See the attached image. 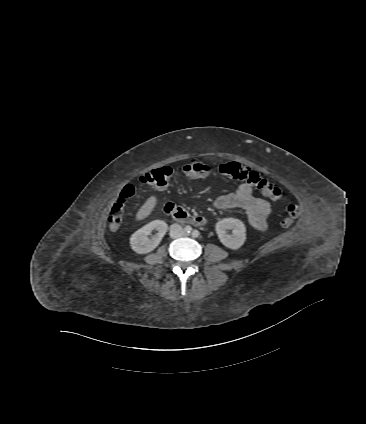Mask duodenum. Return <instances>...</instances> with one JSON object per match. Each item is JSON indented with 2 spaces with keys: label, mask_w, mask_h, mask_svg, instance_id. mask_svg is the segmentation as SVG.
Listing matches in <instances>:
<instances>
[{
  "label": "duodenum",
  "mask_w": 366,
  "mask_h": 424,
  "mask_svg": "<svg viewBox=\"0 0 366 424\" xmlns=\"http://www.w3.org/2000/svg\"><path fill=\"white\" fill-rule=\"evenodd\" d=\"M165 212L180 223H190L197 226H204L206 224V219L204 217L198 215H191L184 209L172 203L166 204Z\"/></svg>",
  "instance_id": "duodenum-1"
}]
</instances>
